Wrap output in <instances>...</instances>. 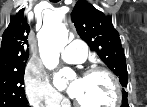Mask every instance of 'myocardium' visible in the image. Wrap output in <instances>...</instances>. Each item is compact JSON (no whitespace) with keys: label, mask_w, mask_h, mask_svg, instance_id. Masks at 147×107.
I'll use <instances>...</instances> for the list:
<instances>
[{"label":"myocardium","mask_w":147,"mask_h":107,"mask_svg":"<svg viewBox=\"0 0 147 107\" xmlns=\"http://www.w3.org/2000/svg\"><path fill=\"white\" fill-rule=\"evenodd\" d=\"M99 74L105 75L112 83L113 89H114L113 102L109 106H102V107H117L121 103V100H122V89H121L120 82L114 73H112L110 70L103 68V67H92V68H89L85 72L84 76L91 77V76L99 75ZM74 105L76 107H89V106L82 104L77 99L74 100Z\"/></svg>","instance_id":"1"}]
</instances>
